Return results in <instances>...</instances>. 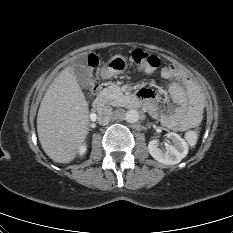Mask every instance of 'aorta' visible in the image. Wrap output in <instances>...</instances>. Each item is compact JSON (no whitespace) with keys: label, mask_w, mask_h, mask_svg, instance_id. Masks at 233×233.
<instances>
[{"label":"aorta","mask_w":233,"mask_h":233,"mask_svg":"<svg viewBox=\"0 0 233 233\" xmlns=\"http://www.w3.org/2000/svg\"><path fill=\"white\" fill-rule=\"evenodd\" d=\"M124 118L127 122L129 123H135L139 120V112L137 110H128L125 115Z\"/></svg>","instance_id":"1"}]
</instances>
